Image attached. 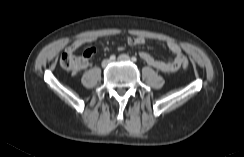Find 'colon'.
Instances as JSON below:
<instances>
[{"label": "colon", "instance_id": "1", "mask_svg": "<svg viewBox=\"0 0 244 157\" xmlns=\"http://www.w3.org/2000/svg\"><path fill=\"white\" fill-rule=\"evenodd\" d=\"M92 55V48L87 49L83 55H77L74 49L67 48L61 55L60 66L72 75H76L87 66V61ZM181 65L183 68L188 67L189 60L187 57H182Z\"/></svg>", "mask_w": 244, "mask_h": 157}]
</instances>
